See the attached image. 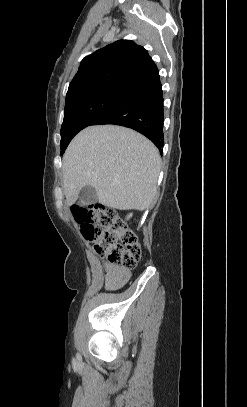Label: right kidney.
I'll list each match as a JSON object with an SVG mask.
<instances>
[{"label":"right kidney","mask_w":247,"mask_h":407,"mask_svg":"<svg viewBox=\"0 0 247 407\" xmlns=\"http://www.w3.org/2000/svg\"><path fill=\"white\" fill-rule=\"evenodd\" d=\"M131 216H132V214L128 215V217H127V218H130Z\"/></svg>","instance_id":"obj_1"}]
</instances>
